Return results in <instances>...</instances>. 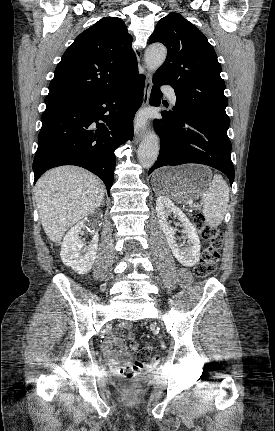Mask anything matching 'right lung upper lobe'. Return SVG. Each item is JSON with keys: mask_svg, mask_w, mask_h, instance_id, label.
<instances>
[{"mask_svg": "<svg viewBox=\"0 0 275 431\" xmlns=\"http://www.w3.org/2000/svg\"><path fill=\"white\" fill-rule=\"evenodd\" d=\"M132 37L122 19L105 17L82 32L58 63L46 106L121 89L138 73Z\"/></svg>", "mask_w": 275, "mask_h": 431, "instance_id": "1", "label": "right lung upper lobe"}]
</instances>
